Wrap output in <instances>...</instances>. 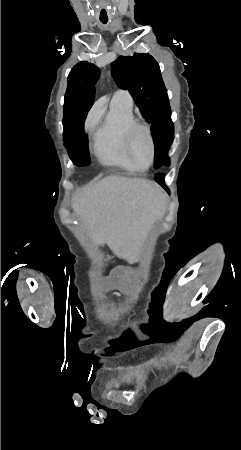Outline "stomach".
I'll return each instance as SVG.
<instances>
[{
	"label": "stomach",
	"instance_id": "0dacf381",
	"mask_svg": "<svg viewBox=\"0 0 241 450\" xmlns=\"http://www.w3.org/2000/svg\"><path fill=\"white\" fill-rule=\"evenodd\" d=\"M113 281L119 287H127L133 283V278L126 269L117 268L113 271Z\"/></svg>",
	"mask_w": 241,
	"mask_h": 450
}]
</instances>
